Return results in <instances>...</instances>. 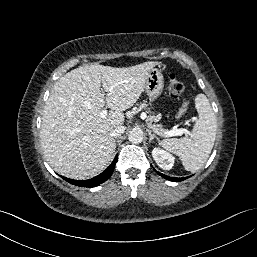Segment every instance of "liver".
<instances>
[{
  "mask_svg": "<svg viewBox=\"0 0 257 257\" xmlns=\"http://www.w3.org/2000/svg\"><path fill=\"white\" fill-rule=\"evenodd\" d=\"M158 64L150 61L122 68L91 64L61 77L45 104L40 132L50 166L79 180L102 172L116 148L110 132L122 126L123 111L137 102L149 72ZM105 105L111 111L102 118Z\"/></svg>",
  "mask_w": 257,
  "mask_h": 257,
  "instance_id": "1",
  "label": "liver"
}]
</instances>
